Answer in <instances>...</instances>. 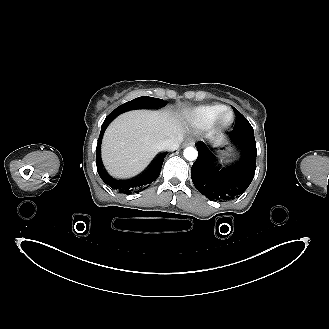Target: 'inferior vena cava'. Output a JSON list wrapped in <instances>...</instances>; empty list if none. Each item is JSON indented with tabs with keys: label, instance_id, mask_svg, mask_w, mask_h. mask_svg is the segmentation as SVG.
<instances>
[{
	"label": "inferior vena cava",
	"instance_id": "inferior-vena-cava-1",
	"mask_svg": "<svg viewBox=\"0 0 329 329\" xmlns=\"http://www.w3.org/2000/svg\"><path fill=\"white\" fill-rule=\"evenodd\" d=\"M181 140H182L181 138L167 139L160 144V149L166 151L177 150L179 148V143L181 142Z\"/></svg>",
	"mask_w": 329,
	"mask_h": 329
}]
</instances>
